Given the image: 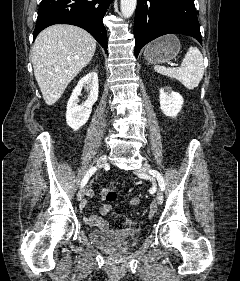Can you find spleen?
<instances>
[{"label":"spleen","mask_w":240,"mask_h":281,"mask_svg":"<svg viewBox=\"0 0 240 281\" xmlns=\"http://www.w3.org/2000/svg\"><path fill=\"white\" fill-rule=\"evenodd\" d=\"M154 69L159 74L180 81L184 87L192 90L198 87L204 75L203 56L197 47L191 46L183 58L181 67L166 68L156 65Z\"/></svg>","instance_id":"spleen-1"}]
</instances>
